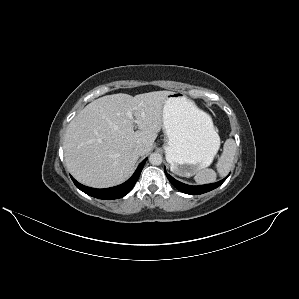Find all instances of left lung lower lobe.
<instances>
[{
	"instance_id": "0a47b994",
	"label": "left lung lower lobe",
	"mask_w": 299,
	"mask_h": 299,
	"mask_svg": "<svg viewBox=\"0 0 299 299\" xmlns=\"http://www.w3.org/2000/svg\"><path fill=\"white\" fill-rule=\"evenodd\" d=\"M165 174L167 176V178L169 179V181L181 192L186 193V194H190V195H199V194H203L206 193L208 191H211L215 188H217L218 186H220L226 179L224 178L223 180L213 183V184H207V185H201V186H190V185H186L184 183H181L177 180H175L172 176H170L166 170H165Z\"/></svg>"
}]
</instances>
